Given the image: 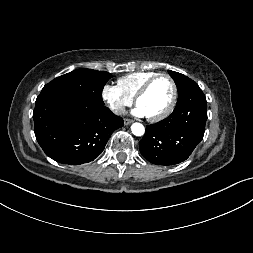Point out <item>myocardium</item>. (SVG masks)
<instances>
[{
  "mask_svg": "<svg viewBox=\"0 0 253 253\" xmlns=\"http://www.w3.org/2000/svg\"><path fill=\"white\" fill-rule=\"evenodd\" d=\"M167 78L171 84L172 87V97H171V101L168 105V107L160 114L156 115V116H151V117H147V119L150 122H159L165 118H167L175 109L176 103H177V99H178V88L176 85L175 80L173 79V77L167 73H158L157 75H155L154 77H152L151 79H149L140 89L139 91L136 93L135 97H134V103L137 105L138 100L143 97L147 91L149 90V88L152 86V84L158 80L159 78Z\"/></svg>",
  "mask_w": 253,
  "mask_h": 253,
  "instance_id": "f54148a6",
  "label": "myocardium"
}]
</instances>
